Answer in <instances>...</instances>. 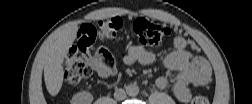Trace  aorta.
Segmentation results:
<instances>
[{"label": "aorta", "mask_w": 252, "mask_h": 104, "mask_svg": "<svg viewBox=\"0 0 252 104\" xmlns=\"http://www.w3.org/2000/svg\"><path fill=\"white\" fill-rule=\"evenodd\" d=\"M126 93L128 96L135 97L139 94V87L136 84H129L126 86Z\"/></svg>", "instance_id": "762f6f07"}]
</instances>
